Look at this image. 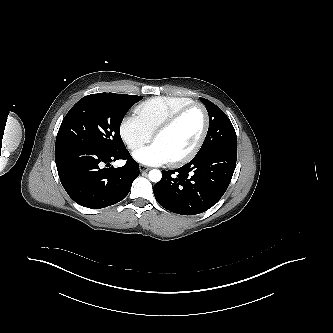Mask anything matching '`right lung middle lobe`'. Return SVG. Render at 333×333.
Here are the masks:
<instances>
[{"instance_id":"obj_1","label":"right lung middle lobe","mask_w":333,"mask_h":333,"mask_svg":"<svg viewBox=\"0 0 333 333\" xmlns=\"http://www.w3.org/2000/svg\"><path fill=\"white\" fill-rule=\"evenodd\" d=\"M142 98L115 93L83 97L63 119L55 144L72 143L108 153L125 148L120 136L121 122Z\"/></svg>"}]
</instances>
